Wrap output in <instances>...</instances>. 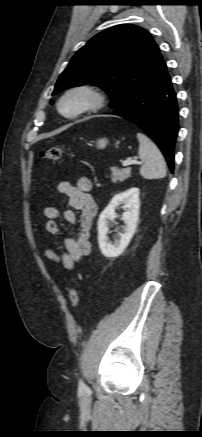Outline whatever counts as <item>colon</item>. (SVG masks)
Here are the masks:
<instances>
[{
  "mask_svg": "<svg viewBox=\"0 0 202 437\" xmlns=\"http://www.w3.org/2000/svg\"><path fill=\"white\" fill-rule=\"evenodd\" d=\"M63 154V148L60 146H53L41 151L40 158L46 161H56L61 158ZM69 301L72 307H76L79 304L80 296L76 288H72L69 291Z\"/></svg>",
  "mask_w": 202,
  "mask_h": 437,
  "instance_id": "5ec220e1",
  "label": "colon"
}]
</instances>
